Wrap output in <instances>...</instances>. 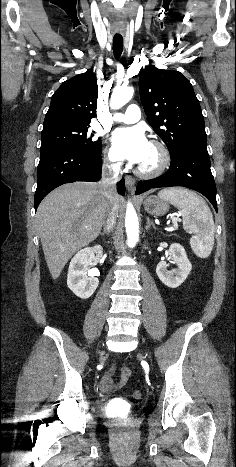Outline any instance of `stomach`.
Masks as SVG:
<instances>
[{
    "mask_svg": "<svg viewBox=\"0 0 236 467\" xmlns=\"http://www.w3.org/2000/svg\"><path fill=\"white\" fill-rule=\"evenodd\" d=\"M143 207L147 213L155 216H162L169 211L168 202L154 195L148 196L143 200Z\"/></svg>",
    "mask_w": 236,
    "mask_h": 467,
    "instance_id": "0dacf381",
    "label": "stomach"
}]
</instances>
